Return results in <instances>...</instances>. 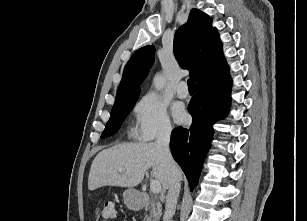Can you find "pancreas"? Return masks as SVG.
Segmentation results:
<instances>
[{"mask_svg": "<svg viewBox=\"0 0 307 221\" xmlns=\"http://www.w3.org/2000/svg\"><path fill=\"white\" fill-rule=\"evenodd\" d=\"M146 212L149 211V214L145 215L143 221H159L161 217V204L160 202H156L155 200H150L147 202V206L145 208Z\"/></svg>", "mask_w": 307, "mask_h": 221, "instance_id": "cf45deb5", "label": "pancreas"}]
</instances>
